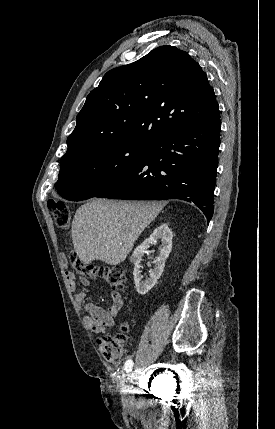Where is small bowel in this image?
Instances as JSON below:
<instances>
[{
	"label": "small bowel",
	"mask_w": 275,
	"mask_h": 429,
	"mask_svg": "<svg viewBox=\"0 0 275 429\" xmlns=\"http://www.w3.org/2000/svg\"><path fill=\"white\" fill-rule=\"evenodd\" d=\"M66 279L69 288L72 291H76L77 282L75 274L71 271H66ZM81 283L88 286L90 281L82 278ZM110 297L112 303L107 308H103L94 303L86 302L85 294L83 292H77L75 295L77 303L81 305L87 313L84 317V322L89 330L94 333L102 334L109 330L114 325L115 319L123 305L120 293L113 291L111 292Z\"/></svg>",
	"instance_id": "obj_1"
}]
</instances>
